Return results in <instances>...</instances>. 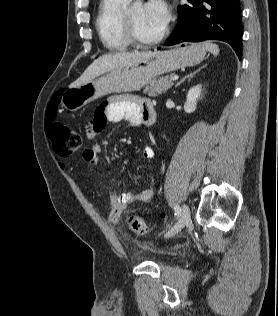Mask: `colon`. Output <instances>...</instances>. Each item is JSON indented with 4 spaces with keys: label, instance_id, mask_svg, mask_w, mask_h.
<instances>
[{
    "label": "colon",
    "instance_id": "obj_1",
    "mask_svg": "<svg viewBox=\"0 0 278 316\" xmlns=\"http://www.w3.org/2000/svg\"><path fill=\"white\" fill-rule=\"evenodd\" d=\"M48 138L54 152L59 156L71 155L78 151L82 145L81 133L72 127L60 123L52 124L49 127ZM127 226L138 235H146L148 232L144 219L136 214L127 217Z\"/></svg>",
    "mask_w": 278,
    "mask_h": 316
}]
</instances>
